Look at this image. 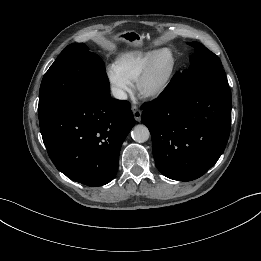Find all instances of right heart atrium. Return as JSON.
I'll use <instances>...</instances> for the list:
<instances>
[{
	"label": "right heart atrium",
	"mask_w": 261,
	"mask_h": 261,
	"mask_svg": "<svg viewBox=\"0 0 261 261\" xmlns=\"http://www.w3.org/2000/svg\"><path fill=\"white\" fill-rule=\"evenodd\" d=\"M106 76L113 93L118 98H124L130 92L131 83L118 73L114 65L107 67Z\"/></svg>",
	"instance_id": "d8ad5b80"
}]
</instances>
